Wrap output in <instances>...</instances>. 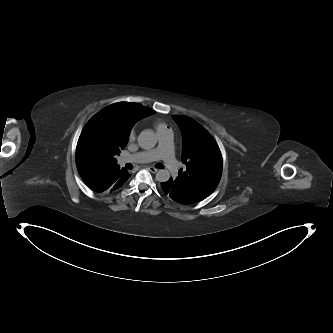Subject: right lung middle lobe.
<instances>
[{"mask_svg": "<svg viewBox=\"0 0 333 333\" xmlns=\"http://www.w3.org/2000/svg\"><path fill=\"white\" fill-rule=\"evenodd\" d=\"M128 132L101 110L93 116L81 132L76 149L79 172L98 171L105 165L117 163L116 156L125 148Z\"/></svg>", "mask_w": 333, "mask_h": 333, "instance_id": "dd1d6c3e", "label": "right lung middle lobe"}]
</instances>
